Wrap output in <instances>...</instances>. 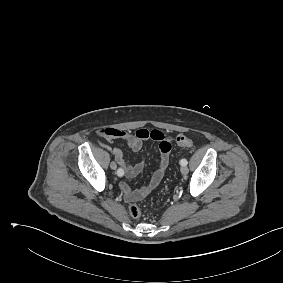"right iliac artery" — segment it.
<instances>
[{
  "label": "right iliac artery",
  "instance_id": "82829eb1",
  "mask_svg": "<svg viewBox=\"0 0 283 283\" xmlns=\"http://www.w3.org/2000/svg\"><path fill=\"white\" fill-rule=\"evenodd\" d=\"M122 173H123L122 170L118 169V171H117L118 176H121Z\"/></svg>",
  "mask_w": 283,
  "mask_h": 283
}]
</instances>
